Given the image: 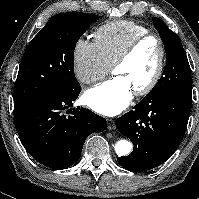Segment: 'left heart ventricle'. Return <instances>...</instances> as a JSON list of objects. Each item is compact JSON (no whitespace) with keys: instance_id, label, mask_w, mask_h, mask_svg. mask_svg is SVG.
I'll list each match as a JSON object with an SVG mask.
<instances>
[{"instance_id":"b2bd125f","label":"left heart ventricle","mask_w":199,"mask_h":199,"mask_svg":"<svg viewBox=\"0 0 199 199\" xmlns=\"http://www.w3.org/2000/svg\"><path fill=\"white\" fill-rule=\"evenodd\" d=\"M158 59V44L154 39H148L136 49L125 64L115 70L114 75L122 77L134 91L143 87L151 79Z\"/></svg>"}]
</instances>
